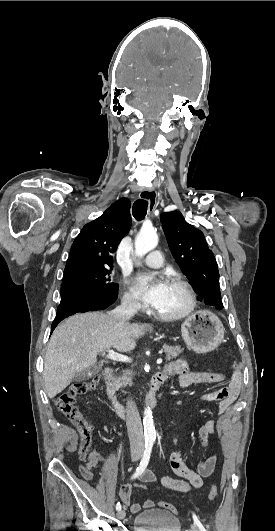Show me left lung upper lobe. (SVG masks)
Instances as JSON below:
<instances>
[{
  "mask_svg": "<svg viewBox=\"0 0 275 531\" xmlns=\"http://www.w3.org/2000/svg\"><path fill=\"white\" fill-rule=\"evenodd\" d=\"M160 219L172 255L198 299L222 309L218 266L203 233L177 211L162 213Z\"/></svg>",
  "mask_w": 275,
  "mask_h": 531,
  "instance_id": "obj_1",
  "label": "left lung upper lobe"
}]
</instances>
